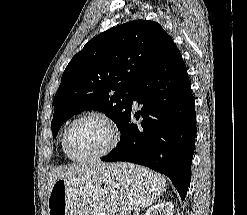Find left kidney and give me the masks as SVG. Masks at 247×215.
I'll return each instance as SVG.
<instances>
[{"instance_id": "obj_1", "label": "left kidney", "mask_w": 247, "mask_h": 215, "mask_svg": "<svg viewBox=\"0 0 247 215\" xmlns=\"http://www.w3.org/2000/svg\"><path fill=\"white\" fill-rule=\"evenodd\" d=\"M174 206L171 202H161L151 206L145 215H173Z\"/></svg>"}]
</instances>
